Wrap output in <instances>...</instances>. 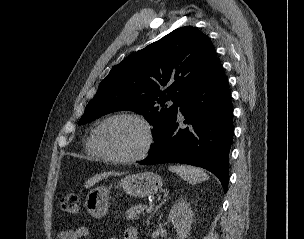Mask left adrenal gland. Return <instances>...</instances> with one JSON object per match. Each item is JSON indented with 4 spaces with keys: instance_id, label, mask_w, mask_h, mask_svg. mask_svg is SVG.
Returning <instances> with one entry per match:
<instances>
[{
    "instance_id": "a2214340",
    "label": "left adrenal gland",
    "mask_w": 304,
    "mask_h": 239,
    "mask_svg": "<svg viewBox=\"0 0 304 239\" xmlns=\"http://www.w3.org/2000/svg\"><path fill=\"white\" fill-rule=\"evenodd\" d=\"M166 201V199H164L154 210V212L149 216V219L154 215V213L158 210V208ZM147 224H149V220L147 221Z\"/></svg>"
}]
</instances>
